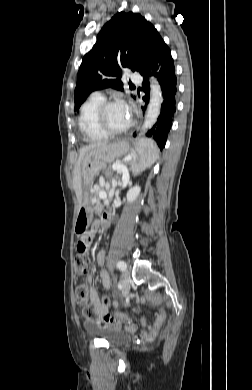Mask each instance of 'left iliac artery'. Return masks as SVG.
Wrapping results in <instances>:
<instances>
[{
	"label": "left iliac artery",
	"instance_id": "obj_1",
	"mask_svg": "<svg viewBox=\"0 0 252 390\" xmlns=\"http://www.w3.org/2000/svg\"><path fill=\"white\" fill-rule=\"evenodd\" d=\"M117 268L121 271H125L127 268V265L124 261H118L117 262Z\"/></svg>",
	"mask_w": 252,
	"mask_h": 390
}]
</instances>
